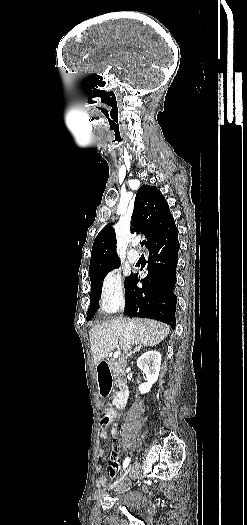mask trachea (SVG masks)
<instances>
[{
	"mask_svg": "<svg viewBox=\"0 0 247 525\" xmlns=\"http://www.w3.org/2000/svg\"><path fill=\"white\" fill-rule=\"evenodd\" d=\"M143 245H145V240H142L141 242V246L143 247Z\"/></svg>",
	"mask_w": 247,
	"mask_h": 525,
	"instance_id": "3493384b",
	"label": "trachea"
}]
</instances>
